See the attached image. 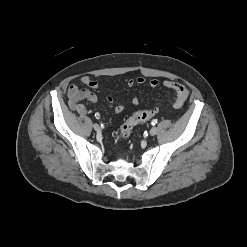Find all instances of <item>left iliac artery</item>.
Masks as SVG:
<instances>
[{"mask_svg":"<svg viewBox=\"0 0 247 247\" xmlns=\"http://www.w3.org/2000/svg\"><path fill=\"white\" fill-rule=\"evenodd\" d=\"M156 123H157V119H153L151 122L152 125H155Z\"/></svg>","mask_w":247,"mask_h":247,"instance_id":"44dca946","label":"left iliac artery"}]
</instances>
